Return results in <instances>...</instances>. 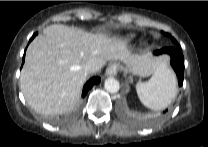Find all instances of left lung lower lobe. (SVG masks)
<instances>
[{
	"mask_svg": "<svg viewBox=\"0 0 208 147\" xmlns=\"http://www.w3.org/2000/svg\"><path fill=\"white\" fill-rule=\"evenodd\" d=\"M162 53H167L171 56V65L178 77L179 86H181L183 84L184 77V57L180 48L172 46L154 52L155 55Z\"/></svg>",
	"mask_w": 208,
	"mask_h": 147,
	"instance_id": "obj_1",
	"label": "left lung lower lobe"
}]
</instances>
